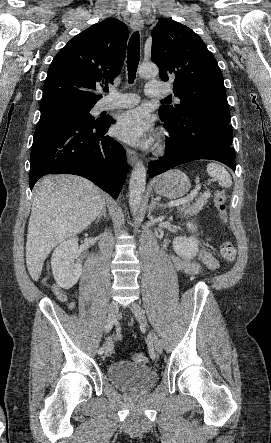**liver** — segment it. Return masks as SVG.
Returning a JSON list of instances; mask_svg holds the SVG:
<instances>
[{
	"label": "liver",
	"instance_id": "1",
	"mask_svg": "<svg viewBox=\"0 0 271 443\" xmlns=\"http://www.w3.org/2000/svg\"><path fill=\"white\" fill-rule=\"evenodd\" d=\"M104 204L101 190L80 176L59 174L37 182L26 241L27 269L34 281L53 247L86 229Z\"/></svg>",
	"mask_w": 271,
	"mask_h": 443
}]
</instances>
